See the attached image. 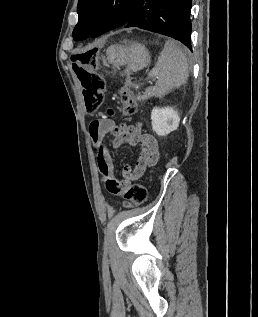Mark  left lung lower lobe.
Returning a JSON list of instances; mask_svg holds the SVG:
<instances>
[{
  "label": "left lung lower lobe",
  "mask_w": 258,
  "mask_h": 317,
  "mask_svg": "<svg viewBox=\"0 0 258 317\" xmlns=\"http://www.w3.org/2000/svg\"><path fill=\"white\" fill-rule=\"evenodd\" d=\"M192 0H136L124 26L138 27L181 41L190 50ZM111 29L100 27L83 39L97 37Z\"/></svg>",
  "instance_id": "1"
}]
</instances>
